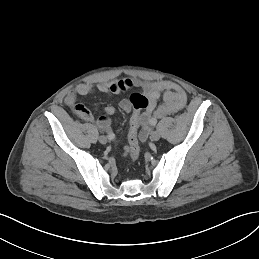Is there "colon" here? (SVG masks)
I'll return each mask as SVG.
<instances>
[{"label":"colon","instance_id":"obj_1","mask_svg":"<svg viewBox=\"0 0 259 259\" xmlns=\"http://www.w3.org/2000/svg\"><path fill=\"white\" fill-rule=\"evenodd\" d=\"M132 115L128 133V154L132 161H137L140 154L138 130L141 125V115L149 105L148 98L143 93H133L130 97Z\"/></svg>","mask_w":259,"mask_h":259}]
</instances>
